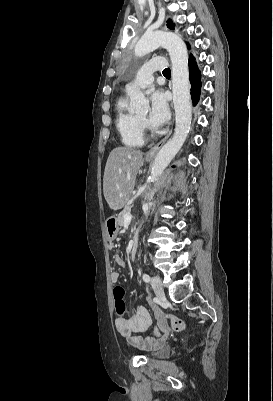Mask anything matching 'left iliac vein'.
<instances>
[{
	"label": "left iliac vein",
	"instance_id": "1",
	"mask_svg": "<svg viewBox=\"0 0 273 401\" xmlns=\"http://www.w3.org/2000/svg\"><path fill=\"white\" fill-rule=\"evenodd\" d=\"M151 285L155 291V293L157 294V296L160 299L164 298V291H163V286H162V281L158 276H153L151 278Z\"/></svg>",
	"mask_w": 273,
	"mask_h": 401
}]
</instances>
